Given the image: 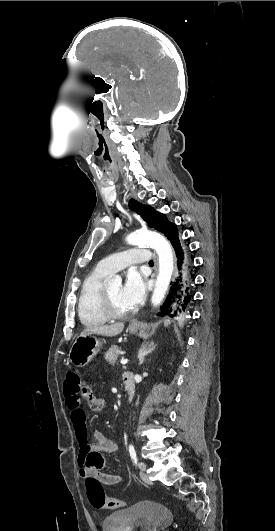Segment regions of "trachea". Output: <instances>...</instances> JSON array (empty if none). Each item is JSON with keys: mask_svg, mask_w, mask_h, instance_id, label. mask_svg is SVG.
<instances>
[{"mask_svg": "<svg viewBox=\"0 0 275 531\" xmlns=\"http://www.w3.org/2000/svg\"><path fill=\"white\" fill-rule=\"evenodd\" d=\"M149 264H150V265H153L154 263H153V261L151 260V261H149Z\"/></svg>", "mask_w": 275, "mask_h": 531, "instance_id": "obj_1", "label": "trachea"}]
</instances>
